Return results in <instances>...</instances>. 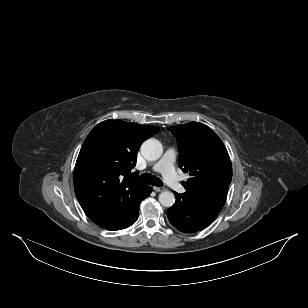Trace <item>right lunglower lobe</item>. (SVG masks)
<instances>
[{"label":"right lung lower lobe","instance_id":"1","mask_svg":"<svg viewBox=\"0 0 308 308\" xmlns=\"http://www.w3.org/2000/svg\"><path fill=\"white\" fill-rule=\"evenodd\" d=\"M150 193H151V187L146 186V188L142 192L139 199L135 202V204L133 206V212L121 224H119L117 226H113V227H107L105 229L116 231V230H121V229L127 228V227L131 226L133 223H135L136 220L138 219V215H139V204Z\"/></svg>","mask_w":308,"mask_h":308}]
</instances>
